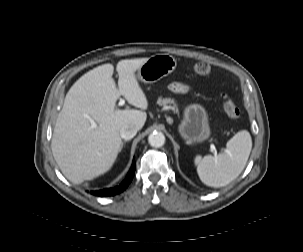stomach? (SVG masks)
Wrapping results in <instances>:
<instances>
[{
  "instance_id": "obj_1",
  "label": "stomach",
  "mask_w": 303,
  "mask_h": 252,
  "mask_svg": "<svg viewBox=\"0 0 303 252\" xmlns=\"http://www.w3.org/2000/svg\"><path fill=\"white\" fill-rule=\"evenodd\" d=\"M176 65L172 55H153L138 69L137 77L144 83H155L172 73ZM178 133L188 144L202 143L210 137L208 113L201 104L193 103L184 109Z\"/></svg>"
}]
</instances>
